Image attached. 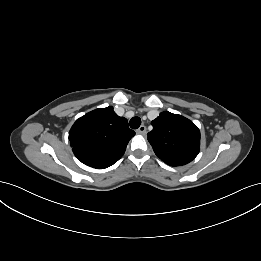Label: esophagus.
Instances as JSON below:
<instances>
[{
    "mask_svg": "<svg viewBox=\"0 0 261 261\" xmlns=\"http://www.w3.org/2000/svg\"><path fill=\"white\" fill-rule=\"evenodd\" d=\"M136 132H137L138 134H142V135L146 134V126L141 125V126L137 129Z\"/></svg>",
    "mask_w": 261,
    "mask_h": 261,
    "instance_id": "1",
    "label": "esophagus"
}]
</instances>
